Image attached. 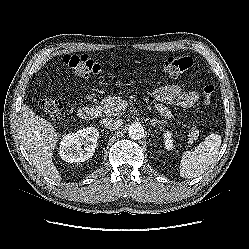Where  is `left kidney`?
<instances>
[{"label": "left kidney", "mask_w": 249, "mask_h": 249, "mask_svg": "<svg viewBox=\"0 0 249 249\" xmlns=\"http://www.w3.org/2000/svg\"><path fill=\"white\" fill-rule=\"evenodd\" d=\"M164 142H165V148L167 150H171L173 148V139H172V133L170 131H167L164 133Z\"/></svg>", "instance_id": "1"}]
</instances>
